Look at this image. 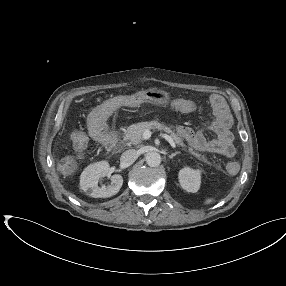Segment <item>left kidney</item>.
Segmentation results:
<instances>
[{
    "label": "left kidney",
    "instance_id": "5707ae66",
    "mask_svg": "<svg viewBox=\"0 0 286 286\" xmlns=\"http://www.w3.org/2000/svg\"><path fill=\"white\" fill-rule=\"evenodd\" d=\"M179 182L183 189L195 193L199 190L201 184V173L199 170H193L185 167L179 172Z\"/></svg>",
    "mask_w": 286,
    "mask_h": 286
}]
</instances>
